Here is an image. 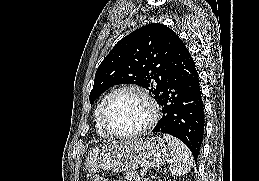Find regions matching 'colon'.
Returning <instances> with one entry per match:
<instances>
[{"mask_svg":"<svg viewBox=\"0 0 259 181\" xmlns=\"http://www.w3.org/2000/svg\"><path fill=\"white\" fill-rule=\"evenodd\" d=\"M91 181H105V180L100 176H94Z\"/></svg>","mask_w":259,"mask_h":181,"instance_id":"5ec220e1","label":"colon"}]
</instances>
